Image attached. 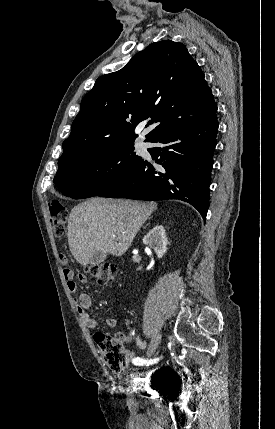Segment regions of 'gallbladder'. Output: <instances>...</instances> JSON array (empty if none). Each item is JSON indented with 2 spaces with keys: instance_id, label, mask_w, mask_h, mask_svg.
<instances>
[{
  "instance_id": "obj_1",
  "label": "gallbladder",
  "mask_w": 275,
  "mask_h": 429,
  "mask_svg": "<svg viewBox=\"0 0 275 429\" xmlns=\"http://www.w3.org/2000/svg\"><path fill=\"white\" fill-rule=\"evenodd\" d=\"M106 257H107V253L97 251L92 255L89 263L91 265H99L105 261Z\"/></svg>"
}]
</instances>
